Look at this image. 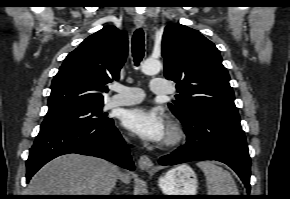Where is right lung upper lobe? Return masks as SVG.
<instances>
[{
    "mask_svg": "<svg viewBox=\"0 0 290 199\" xmlns=\"http://www.w3.org/2000/svg\"><path fill=\"white\" fill-rule=\"evenodd\" d=\"M128 51L127 34L105 26L63 61L51 85L47 114L101 103L106 84L119 79Z\"/></svg>",
    "mask_w": 290,
    "mask_h": 199,
    "instance_id": "obj_1",
    "label": "right lung upper lobe"
}]
</instances>
